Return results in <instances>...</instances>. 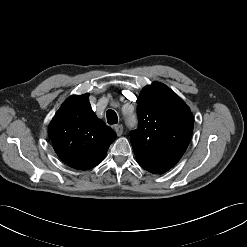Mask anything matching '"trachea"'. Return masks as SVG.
<instances>
[{
  "instance_id": "1",
  "label": "trachea",
  "mask_w": 247,
  "mask_h": 247,
  "mask_svg": "<svg viewBox=\"0 0 247 247\" xmlns=\"http://www.w3.org/2000/svg\"><path fill=\"white\" fill-rule=\"evenodd\" d=\"M108 124H116L118 123V117L115 111L108 110L106 113Z\"/></svg>"
}]
</instances>
